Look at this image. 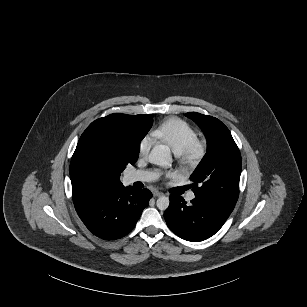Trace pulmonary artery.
<instances>
[{
  "instance_id": "e3ab8cb5",
  "label": "pulmonary artery",
  "mask_w": 307,
  "mask_h": 307,
  "mask_svg": "<svg viewBox=\"0 0 307 307\" xmlns=\"http://www.w3.org/2000/svg\"><path fill=\"white\" fill-rule=\"evenodd\" d=\"M156 178L155 173L153 172H140V171H132L128 173L129 181H142V182H151ZM190 199H193L195 195L193 193L190 194Z\"/></svg>"
}]
</instances>
